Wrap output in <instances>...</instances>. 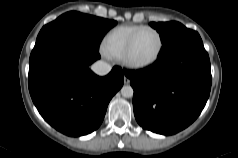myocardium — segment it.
Masks as SVG:
<instances>
[{
	"label": "myocardium",
	"instance_id": "1",
	"mask_svg": "<svg viewBox=\"0 0 238 158\" xmlns=\"http://www.w3.org/2000/svg\"><path fill=\"white\" fill-rule=\"evenodd\" d=\"M146 30H150V31H153L157 34L158 38H159V48H158V51L156 53V55L149 61H146V62H134L132 59H131V53H132V50L134 48V45H135V42L138 38V36L146 31ZM163 48H164V40H163V36L161 34V32L156 29L155 27H151V26H144L142 28H140L139 30H137L133 35L132 37L130 38L126 48H125V51L123 53V56H122V61L123 63L129 67V68H132V69H144V68H148L150 66H152L153 64H155L158 59L160 58L161 54H162V51H163Z\"/></svg>",
	"mask_w": 238,
	"mask_h": 158
}]
</instances>
